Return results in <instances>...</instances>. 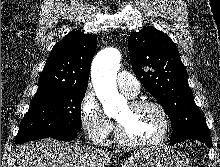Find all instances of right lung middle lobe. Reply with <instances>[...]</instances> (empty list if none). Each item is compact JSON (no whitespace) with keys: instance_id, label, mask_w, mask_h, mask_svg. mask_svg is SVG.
<instances>
[{"instance_id":"obj_1","label":"right lung middle lobe","mask_w":220,"mask_h":167,"mask_svg":"<svg viewBox=\"0 0 220 167\" xmlns=\"http://www.w3.org/2000/svg\"><path fill=\"white\" fill-rule=\"evenodd\" d=\"M87 88H65L53 94L32 99L20 123L15 143L40 136H53L81 130L80 106Z\"/></svg>"}]
</instances>
